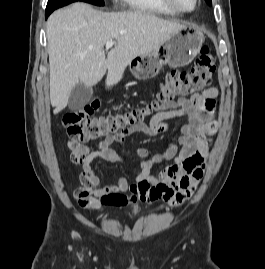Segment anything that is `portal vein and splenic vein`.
Returning <instances> with one entry per match:
<instances>
[{
    "label": "portal vein and splenic vein",
    "instance_id": "1",
    "mask_svg": "<svg viewBox=\"0 0 265 269\" xmlns=\"http://www.w3.org/2000/svg\"><path fill=\"white\" fill-rule=\"evenodd\" d=\"M114 45V41H112V40H110V41H108L107 43H106V49H109V48H111L112 46Z\"/></svg>",
    "mask_w": 265,
    "mask_h": 269
}]
</instances>
